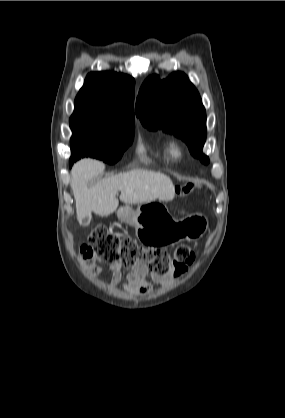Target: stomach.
<instances>
[{
  "label": "stomach",
  "mask_w": 285,
  "mask_h": 418,
  "mask_svg": "<svg viewBox=\"0 0 285 418\" xmlns=\"http://www.w3.org/2000/svg\"><path fill=\"white\" fill-rule=\"evenodd\" d=\"M145 204L134 211L129 206L121 207L118 218L135 227L138 240L146 245L157 246L158 243L175 244L181 240L200 238L207 229L206 218L193 214L184 219L175 220L162 211L148 210Z\"/></svg>",
  "instance_id": "stomach-1"
}]
</instances>
